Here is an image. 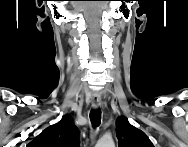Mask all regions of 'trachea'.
Returning a JSON list of instances; mask_svg holds the SVG:
<instances>
[{"mask_svg": "<svg viewBox=\"0 0 188 147\" xmlns=\"http://www.w3.org/2000/svg\"><path fill=\"white\" fill-rule=\"evenodd\" d=\"M90 120L93 124L94 127L99 126V124L101 123V110L100 109H92L90 111Z\"/></svg>", "mask_w": 188, "mask_h": 147, "instance_id": "1", "label": "trachea"}]
</instances>
